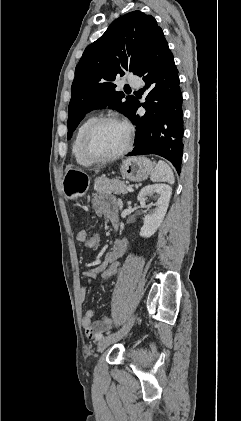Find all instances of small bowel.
I'll use <instances>...</instances> for the list:
<instances>
[{"label": "small bowel", "mask_w": 241, "mask_h": 421, "mask_svg": "<svg viewBox=\"0 0 241 421\" xmlns=\"http://www.w3.org/2000/svg\"><path fill=\"white\" fill-rule=\"evenodd\" d=\"M93 206L95 212L99 215H105L108 218L117 216V203L112 196H105L96 194L93 197ZM88 233L86 230H80L76 235V240L84 244ZM127 248V241L124 238L116 240L111 249L106 254L103 260H99L96 263L94 269L85 272L87 276H95L103 271L110 263L119 260L125 253ZM87 295V290L84 286L79 289V297L81 301H84ZM94 311L88 309L82 319V325L85 329V334L89 338H97L101 336L102 332L107 329L110 325V320L104 317L96 322H93Z\"/></svg>", "instance_id": "small-bowel-1"}]
</instances>
